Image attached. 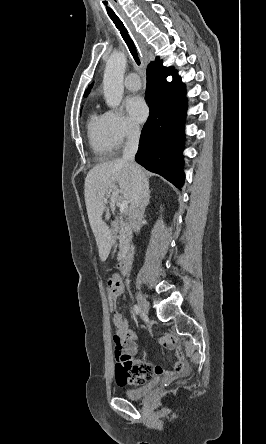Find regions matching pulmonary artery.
<instances>
[{"label":"pulmonary artery","mask_w":266,"mask_h":444,"mask_svg":"<svg viewBox=\"0 0 266 444\" xmlns=\"http://www.w3.org/2000/svg\"><path fill=\"white\" fill-rule=\"evenodd\" d=\"M124 85L126 88L132 91L140 89L141 82L139 76L136 73H130L125 77Z\"/></svg>","instance_id":"obj_1"}]
</instances>
